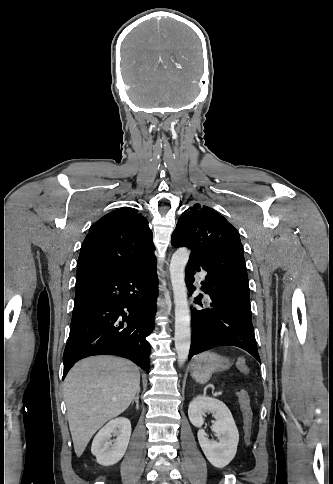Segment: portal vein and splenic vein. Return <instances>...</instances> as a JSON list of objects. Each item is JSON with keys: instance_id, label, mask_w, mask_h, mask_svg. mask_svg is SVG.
Wrapping results in <instances>:
<instances>
[{"instance_id": "obj_1", "label": "portal vein and splenic vein", "mask_w": 333, "mask_h": 484, "mask_svg": "<svg viewBox=\"0 0 333 484\" xmlns=\"http://www.w3.org/2000/svg\"><path fill=\"white\" fill-rule=\"evenodd\" d=\"M215 395H216V396H218V395H222V391H221V390L217 391V392L215 393Z\"/></svg>"}]
</instances>
